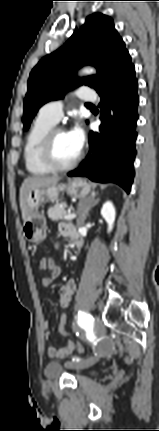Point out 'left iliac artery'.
Instances as JSON below:
<instances>
[{
    "label": "left iliac artery",
    "instance_id": "left-iliac-artery-1",
    "mask_svg": "<svg viewBox=\"0 0 159 431\" xmlns=\"http://www.w3.org/2000/svg\"><path fill=\"white\" fill-rule=\"evenodd\" d=\"M78 320H79L78 321L79 325H81L85 329L92 328L93 323H94L93 317L90 314L82 312V311H79V313H78ZM76 360L79 361V359H76Z\"/></svg>",
    "mask_w": 159,
    "mask_h": 431
}]
</instances>
